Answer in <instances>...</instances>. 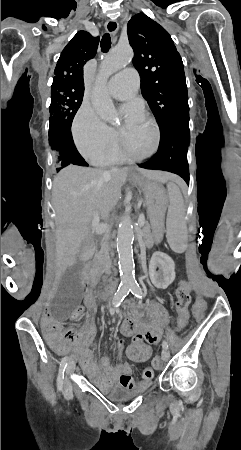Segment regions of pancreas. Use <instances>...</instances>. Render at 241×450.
<instances>
[{"label":"pancreas","instance_id":"obj_1","mask_svg":"<svg viewBox=\"0 0 241 450\" xmlns=\"http://www.w3.org/2000/svg\"><path fill=\"white\" fill-rule=\"evenodd\" d=\"M143 233V242L148 244V246H153V242H154V237H153V233L150 232V227H143L142 228ZM149 247V248H150ZM110 248H111V242H109V238H105V240H102L101 242V248L97 254V262H99L100 266H102V268H100V270H98V272H95V270H91L90 274H91V282L90 284H97V282H99V280H97L95 274H104V272H108L109 270V266L111 264V260L109 258V252H110Z\"/></svg>","mask_w":241,"mask_h":450}]
</instances>
